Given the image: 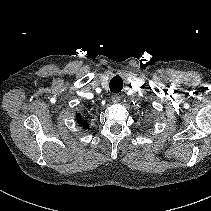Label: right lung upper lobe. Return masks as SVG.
<instances>
[{
    "label": "right lung upper lobe",
    "mask_w": 211,
    "mask_h": 211,
    "mask_svg": "<svg viewBox=\"0 0 211 211\" xmlns=\"http://www.w3.org/2000/svg\"><path fill=\"white\" fill-rule=\"evenodd\" d=\"M77 121L79 122V124H80L83 128H85V129L88 128V123L82 119V117H81L80 114H77Z\"/></svg>",
    "instance_id": "right-lung-upper-lobe-1"
}]
</instances>
